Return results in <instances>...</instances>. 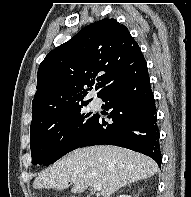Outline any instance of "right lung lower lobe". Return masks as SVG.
<instances>
[{"mask_svg": "<svg viewBox=\"0 0 191 197\" xmlns=\"http://www.w3.org/2000/svg\"><path fill=\"white\" fill-rule=\"evenodd\" d=\"M110 123L97 115L79 147L99 144L125 147L162 162L157 112L147 65L108 87L100 96Z\"/></svg>", "mask_w": 191, "mask_h": 197, "instance_id": "98d812e1", "label": "right lung lower lobe"}]
</instances>
